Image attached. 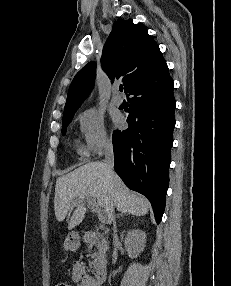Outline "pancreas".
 Returning <instances> with one entry per match:
<instances>
[{"instance_id":"1","label":"pancreas","mask_w":231,"mask_h":286,"mask_svg":"<svg viewBox=\"0 0 231 286\" xmlns=\"http://www.w3.org/2000/svg\"><path fill=\"white\" fill-rule=\"evenodd\" d=\"M93 246L97 248V251L92 254L94 260L89 263V267L96 270L101 265L106 263V251L108 249V244L106 239L103 237V234L98 233L93 235L88 245V251H90Z\"/></svg>"}]
</instances>
